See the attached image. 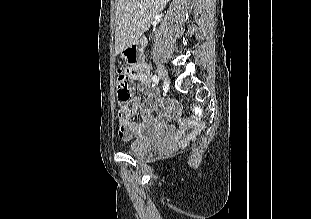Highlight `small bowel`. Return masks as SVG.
<instances>
[{
    "label": "small bowel",
    "mask_w": 311,
    "mask_h": 219,
    "mask_svg": "<svg viewBox=\"0 0 311 219\" xmlns=\"http://www.w3.org/2000/svg\"><path fill=\"white\" fill-rule=\"evenodd\" d=\"M148 66L143 61L129 68L130 77L137 83L141 92L145 95L143 100L136 97L133 100V108L120 107L117 114L119 123V135L124 140L134 137L145 138L157 133L168 142L180 139L179 133L171 124L172 120H178L179 125L188 130L187 137L196 134L202 127V123L196 116L185 119L181 116V106L173 97L162 98L158 89L150 82ZM138 112L142 120L133 117Z\"/></svg>",
    "instance_id": "obj_1"
}]
</instances>
